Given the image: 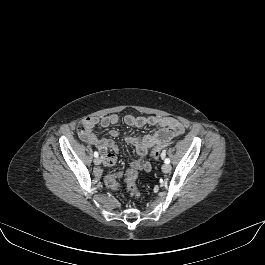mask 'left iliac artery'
Here are the masks:
<instances>
[{
    "instance_id": "44dca946",
    "label": "left iliac artery",
    "mask_w": 265,
    "mask_h": 265,
    "mask_svg": "<svg viewBox=\"0 0 265 265\" xmlns=\"http://www.w3.org/2000/svg\"><path fill=\"white\" fill-rule=\"evenodd\" d=\"M164 162H165V164H169L170 163V159L166 158Z\"/></svg>"
}]
</instances>
